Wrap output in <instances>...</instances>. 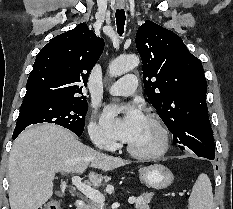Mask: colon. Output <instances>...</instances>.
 Here are the masks:
<instances>
[{
	"instance_id": "obj_1",
	"label": "colon",
	"mask_w": 233,
	"mask_h": 209,
	"mask_svg": "<svg viewBox=\"0 0 233 209\" xmlns=\"http://www.w3.org/2000/svg\"><path fill=\"white\" fill-rule=\"evenodd\" d=\"M41 209H61V205L58 200H51L44 204Z\"/></svg>"
}]
</instances>
